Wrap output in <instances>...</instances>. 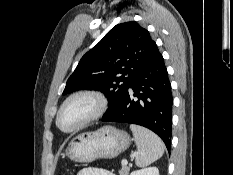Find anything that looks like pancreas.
<instances>
[{"label":"pancreas","mask_w":233,"mask_h":175,"mask_svg":"<svg viewBox=\"0 0 233 175\" xmlns=\"http://www.w3.org/2000/svg\"><path fill=\"white\" fill-rule=\"evenodd\" d=\"M129 170L130 169L128 167L122 165V168L119 170V174L120 175H128Z\"/></svg>","instance_id":"obj_1"}]
</instances>
